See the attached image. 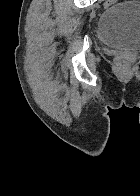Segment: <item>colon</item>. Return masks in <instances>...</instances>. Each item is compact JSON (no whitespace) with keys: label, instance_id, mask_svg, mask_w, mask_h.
I'll return each instance as SVG.
<instances>
[{"label":"colon","instance_id":"1","mask_svg":"<svg viewBox=\"0 0 140 196\" xmlns=\"http://www.w3.org/2000/svg\"><path fill=\"white\" fill-rule=\"evenodd\" d=\"M118 0H107L105 2V7H111L117 3ZM117 68L125 72L129 68V59L125 55H118L115 59Z\"/></svg>","mask_w":140,"mask_h":196}]
</instances>
